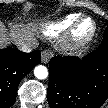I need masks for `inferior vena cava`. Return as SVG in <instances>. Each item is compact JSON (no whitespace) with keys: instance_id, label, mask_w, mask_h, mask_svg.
Masks as SVG:
<instances>
[{"instance_id":"inferior-vena-cava-1","label":"inferior vena cava","mask_w":108,"mask_h":108,"mask_svg":"<svg viewBox=\"0 0 108 108\" xmlns=\"http://www.w3.org/2000/svg\"><path fill=\"white\" fill-rule=\"evenodd\" d=\"M38 46V42L37 41H33L29 44L26 43H19L18 44V49L21 50L22 52H31L33 49L37 48Z\"/></svg>"}]
</instances>
